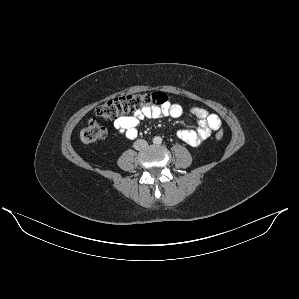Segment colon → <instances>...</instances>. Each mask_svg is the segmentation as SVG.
<instances>
[{
    "mask_svg": "<svg viewBox=\"0 0 299 299\" xmlns=\"http://www.w3.org/2000/svg\"><path fill=\"white\" fill-rule=\"evenodd\" d=\"M167 96L162 92L145 94H132L107 100L96 109V115L104 120H112L121 115L136 112L145 108L162 107L167 103ZM106 129L96 118H91L80 131V140L89 144L100 141L106 137ZM216 139L224 137L222 131L216 132Z\"/></svg>",
    "mask_w": 299,
    "mask_h": 299,
    "instance_id": "obj_1",
    "label": "colon"
}]
</instances>
